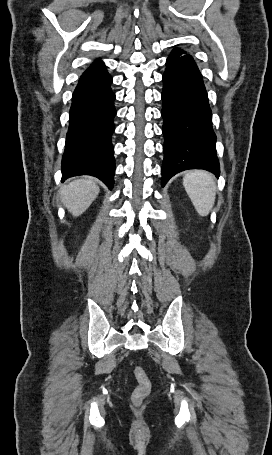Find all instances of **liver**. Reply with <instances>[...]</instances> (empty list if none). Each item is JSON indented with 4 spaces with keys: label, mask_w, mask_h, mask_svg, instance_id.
I'll use <instances>...</instances> for the list:
<instances>
[{
    "label": "liver",
    "mask_w": 272,
    "mask_h": 455,
    "mask_svg": "<svg viewBox=\"0 0 272 455\" xmlns=\"http://www.w3.org/2000/svg\"><path fill=\"white\" fill-rule=\"evenodd\" d=\"M99 187L90 177H83L61 188V199L67 210L78 217L83 214L99 194Z\"/></svg>",
    "instance_id": "obj_1"
}]
</instances>
